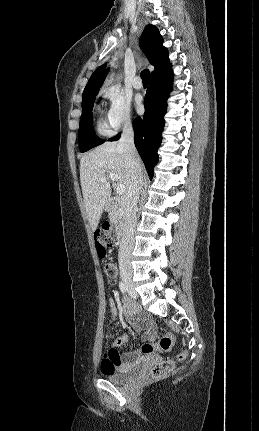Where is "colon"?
<instances>
[{"label":"colon","instance_id":"obj_1","mask_svg":"<svg viewBox=\"0 0 259 431\" xmlns=\"http://www.w3.org/2000/svg\"><path fill=\"white\" fill-rule=\"evenodd\" d=\"M115 238L113 235V228L109 223L103 225L95 234V245L96 250L100 258H104L108 251L114 246ZM104 272L109 282L114 283L117 278L118 270L115 264L107 263L104 266ZM174 338L171 334H166L157 344L146 343L142 346L141 350L143 353H152L155 351H168L172 344ZM185 353L179 355V359H183ZM174 366L172 360H166L160 364L153 367L149 375L153 379H158L165 376Z\"/></svg>","mask_w":259,"mask_h":431}]
</instances>
